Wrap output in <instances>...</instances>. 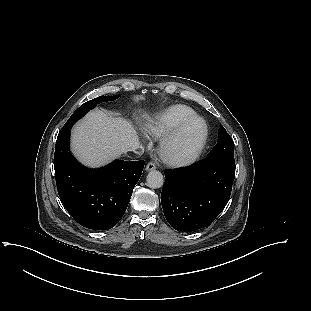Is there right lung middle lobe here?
I'll return each instance as SVG.
<instances>
[{
  "label": "right lung middle lobe",
  "instance_id": "right-lung-middle-lobe-1",
  "mask_svg": "<svg viewBox=\"0 0 311 311\" xmlns=\"http://www.w3.org/2000/svg\"><path fill=\"white\" fill-rule=\"evenodd\" d=\"M120 95H114L111 97L108 96H100L98 98H95L93 100H90L83 105H81L69 118V120L66 122L64 127L61 129L59 135L65 133L66 131L70 130L71 126L81 117H83L89 110L94 108L97 104H100L102 102H107V101H113L117 98H119Z\"/></svg>",
  "mask_w": 311,
  "mask_h": 311
}]
</instances>
